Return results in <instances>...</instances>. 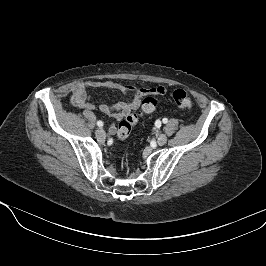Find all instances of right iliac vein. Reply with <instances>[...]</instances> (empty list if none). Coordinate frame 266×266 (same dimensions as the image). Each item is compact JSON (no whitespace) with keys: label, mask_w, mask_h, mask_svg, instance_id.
Returning <instances> with one entry per match:
<instances>
[{"label":"right iliac vein","mask_w":266,"mask_h":266,"mask_svg":"<svg viewBox=\"0 0 266 266\" xmlns=\"http://www.w3.org/2000/svg\"><path fill=\"white\" fill-rule=\"evenodd\" d=\"M95 134L98 138H104L105 137V131L102 128H98L95 131Z\"/></svg>","instance_id":"1"}]
</instances>
